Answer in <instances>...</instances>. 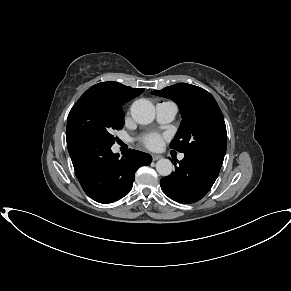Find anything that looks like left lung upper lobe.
<instances>
[{
  "label": "left lung upper lobe",
  "mask_w": 291,
  "mask_h": 291,
  "mask_svg": "<svg viewBox=\"0 0 291 291\" xmlns=\"http://www.w3.org/2000/svg\"><path fill=\"white\" fill-rule=\"evenodd\" d=\"M152 94L171 99L180 108L183 119L171 148L185 154L224 158L227 147L224 117L209 92L178 83Z\"/></svg>",
  "instance_id": "left-lung-upper-lobe-1"
}]
</instances>
